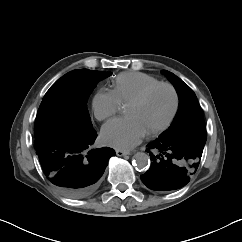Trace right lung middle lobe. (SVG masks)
I'll list each match as a JSON object with an SVG mask.
<instances>
[{"label": "right lung middle lobe", "instance_id": "1", "mask_svg": "<svg viewBox=\"0 0 242 242\" xmlns=\"http://www.w3.org/2000/svg\"><path fill=\"white\" fill-rule=\"evenodd\" d=\"M110 72L73 70L57 80L45 94L35 121V136L51 130L92 127L87 100L96 84Z\"/></svg>", "mask_w": 242, "mask_h": 242}]
</instances>
